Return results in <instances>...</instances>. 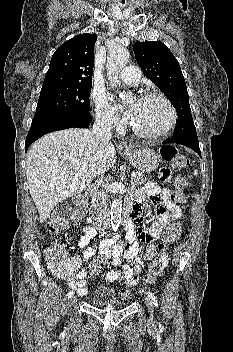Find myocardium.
Segmentation results:
<instances>
[{
    "instance_id": "myocardium-1",
    "label": "myocardium",
    "mask_w": 233,
    "mask_h": 352,
    "mask_svg": "<svg viewBox=\"0 0 233 352\" xmlns=\"http://www.w3.org/2000/svg\"><path fill=\"white\" fill-rule=\"evenodd\" d=\"M152 98H158V99L162 100L167 105V107L170 111V120H169V123L167 124V126L162 131L157 132V133H149V132L142 131L139 128H137L132 122H130V128L137 136H139L141 138L160 139V138H163L164 136H166L175 126V124L177 122V112H176L174 105L169 100V98L160 92L144 93L138 97V100L144 101V100H148V99H152Z\"/></svg>"
}]
</instances>
